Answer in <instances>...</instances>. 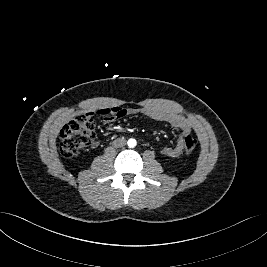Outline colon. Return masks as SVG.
Instances as JSON below:
<instances>
[{
	"instance_id": "colon-1",
	"label": "colon",
	"mask_w": 267,
	"mask_h": 267,
	"mask_svg": "<svg viewBox=\"0 0 267 267\" xmlns=\"http://www.w3.org/2000/svg\"><path fill=\"white\" fill-rule=\"evenodd\" d=\"M96 120L93 114L80 115L66 124L60 131V152L64 157L77 155L95 138ZM197 139L193 136L184 138L186 152H193L197 147Z\"/></svg>"
}]
</instances>
